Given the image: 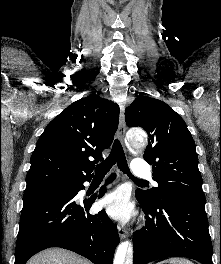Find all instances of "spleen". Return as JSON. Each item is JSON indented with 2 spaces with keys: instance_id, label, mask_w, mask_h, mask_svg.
<instances>
[{
  "instance_id": "1",
  "label": "spleen",
  "mask_w": 221,
  "mask_h": 264,
  "mask_svg": "<svg viewBox=\"0 0 221 264\" xmlns=\"http://www.w3.org/2000/svg\"><path fill=\"white\" fill-rule=\"evenodd\" d=\"M166 263H169V264H194L189 259L179 258V257H173V258H170L168 260L159 262L157 264H166Z\"/></svg>"
}]
</instances>
